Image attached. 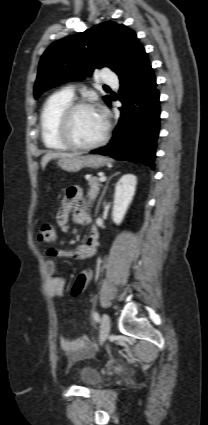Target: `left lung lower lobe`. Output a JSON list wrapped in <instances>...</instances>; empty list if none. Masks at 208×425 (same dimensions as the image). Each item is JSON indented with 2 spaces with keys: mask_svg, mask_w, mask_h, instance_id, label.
<instances>
[{
  "mask_svg": "<svg viewBox=\"0 0 208 425\" xmlns=\"http://www.w3.org/2000/svg\"><path fill=\"white\" fill-rule=\"evenodd\" d=\"M119 122L110 143L93 153L154 168L160 125L159 92L151 63L144 53L133 68L120 77ZM111 105V101L108 104Z\"/></svg>",
  "mask_w": 208,
  "mask_h": 425,
  "instance_id": "left-lung-lower-lobe-1",
  "label": "left lung lower lobe"
}]
</instances>
